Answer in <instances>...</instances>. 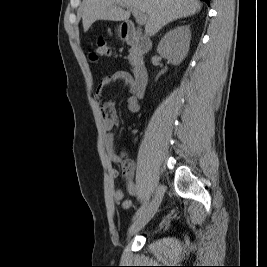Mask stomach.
I'll return each instance as SVG.
<instances>
[{
    "mask_svg": "<svg viewBox=\"0 0 267 267\" xmlns=\"http://www.w3.org/2000/svg\"><path fill=\"white\" fill-rule=\"evenodd\" d=\"M118 31L121 33V31H122V26L119 27Z\"/></svg>",
    "mask_w": 267,
    "mask_h": 267,
    "instance_id": "obj_1",
    "label": "stomach"
}]
</instances>
